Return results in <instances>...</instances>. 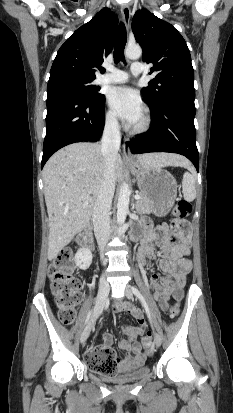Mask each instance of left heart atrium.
<instances>
[{
  "mask_svg": "<svg viewBox=\"0 0 233 413\" xmlns=\"http://www.w3.org/2000/svg\"><path fill=\"white\" fill-rule=\"evenodd\" d=\"M108 101L114 112L126 123L136 124L142 117L144 105L137 91L129 87L111 90Z\"/></svg>",
  "mask_w": 233,
  "mask_h": 413,
  "instance_id": "left-heart-atrium-1",
  "label": "left heart atrium"
}]
</instances>
